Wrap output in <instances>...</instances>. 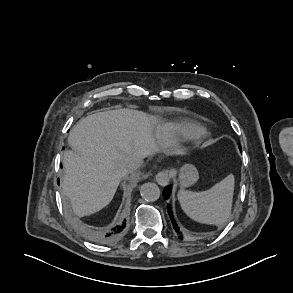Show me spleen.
I'll return each instance as SVG.
<instances>
[{"mask_svg": "<svg viewBox=\"0 0 293 293\" xmlns=\"http://www.w3.org/2000/svg\"><path fill=\"white\" fill-rule=\"evenodd\" d=\"M234 184V175L230 174L206 191L180 190L178 200L183 211L191 219L204 224L222 226L231 215Z\"/></svg>", "mask_w": 293, "mask_h": 293, "instance_id": "1", "label": "spleen"}]
</instances>
